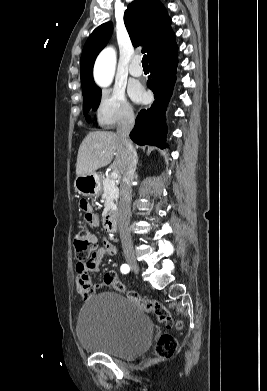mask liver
<instances>
[{"instance_id": "liver-1", "label": "liver", "mask_w": 267, "mask_h": 391, "mask_svg": "<svg viewBox=\"0 0 267 391\" xmlns=\"http://www.w3.org/2000/svg\"><path fill=\"white\" fill-rule=\"evenodd\" d=\"M123 174L127 167L125 147L117 134L108 131L90 132L82 141L77 155L76 174L83 176L110 164Z\"/></svg>"}]
</instances>
